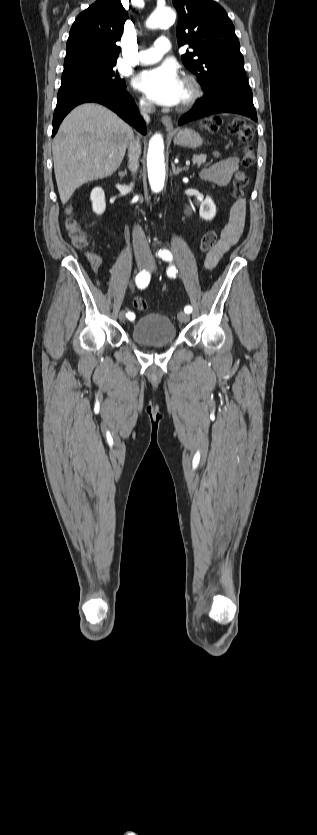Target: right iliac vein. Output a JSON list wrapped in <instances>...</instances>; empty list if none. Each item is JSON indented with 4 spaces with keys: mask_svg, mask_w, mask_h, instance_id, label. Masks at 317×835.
I'll list each match as a JSON object with an SVG mask.
<instances>
[{
    "mask_svg": "<svg viewBox=\"0 0 317 835\" xmlns=\"http://www.w3.org/2000/svg\"><path fill=\"white\" fill-rule=\"evenodd\" d=\"M137 265H138V268H140V269H144V268H147V267H148L149 262H148V260H147L146 258L139 257V258L137 259ZM125 319H126V313H125L124 311H121V312L119 313V320H120V321H124Z\"/></svg>",
    "mask_w": 317,
    "mask_h": 835,
    "instance_id": "1",
    "label": "right iliac vein"
}]
</instances>
